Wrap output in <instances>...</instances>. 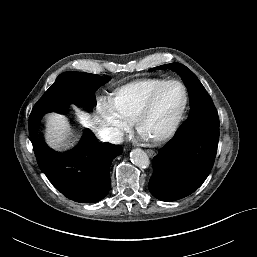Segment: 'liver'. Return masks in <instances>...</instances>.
I'll use <instances>...</instances> for the list:
<instances>
[{"label":"liver","instance_id":"obj_1","mask_svg":"<svg viewBox=\"0 0 257 257\" xmlns=\"http://www.w3.org/2000/svg\"><path fill=\"white\" fill-rule=\"evenodd\" d=\"M68 129V124L64 122L57 115H51L47 118L46 124V139L49 144L58 143L64 136L66 130Z\"/></svg>","mask_w":257,"mask_h":257}]
</instances>
